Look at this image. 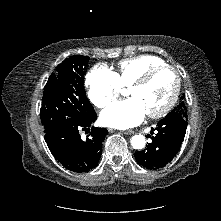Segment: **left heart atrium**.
Instances as JSON below:
<instances>
[{
  "label": "left heart atrium",
  "mask_w": 221,
  "mask_h": 221,
  "mask_svg": "<svg viewBox=\"0 0 221 221\" xmlns=\"http://www.w3.org/2000/svg\"><path fill=\"white\" fill-rule=\"evenodd\" d=\"M147 114L143 104L136 97L108 106L101 114L105 126L127 129L138 125Z\"/></svg>",
  "instance_id": "1"
}]
</instances>
